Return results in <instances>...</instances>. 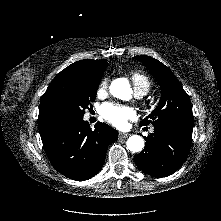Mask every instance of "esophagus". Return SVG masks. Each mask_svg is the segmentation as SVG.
I'll list each match as a JSON object with an SVG mask.
<instances>
[{
	"label": "esophagus",
	"instance_id": "34e87169",
	"mask_svg": "<svg viewBox=\"0 0 221 221\" xmlns=\"http://www.w3.org/2000/svg\"><path fill=\"white\" fill-rule=\"evenodd\" d=\"M129 134L127 133H119V138H127Z\"/></svg>",
	"mask_w": 221,
	"mask_h": 221
}]
</instances>
